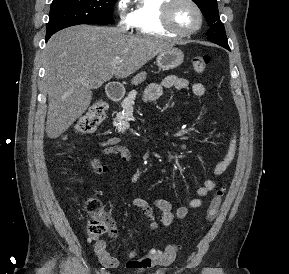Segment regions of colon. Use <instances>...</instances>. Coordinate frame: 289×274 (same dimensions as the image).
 <instances>
[{
	"label": "colon",
	"mask_w": 289,
	"mask_h": 274,
	"mask_svg": "<svg viewBox=\"0 0 289 274\" xmlns=\"http://www.w3.org/2000/svg\"><path fill=\"white\" fill-rule=\"evenodd\" d=\"M210 63V56L202 55L192 59L195 72L203 73ZM107 113V105L104 101L94 102L88 111L82 115L74 125V131L80 135H88L97 130L104 122ZM224 189H219L212 199L205 215V221H212L220 208ZM85 211L88 216L87 233L90 238L97 239L103 234L112 235L116 227L108 211L96 198H89L85 202ZM178 246L168 245L164 250H152L139 259L130 260L127 267L133 270H146L157 266L172 263L177 255Z\"/></svg>",
	"instance_id": "5ec220e1"
}]
</instances>
